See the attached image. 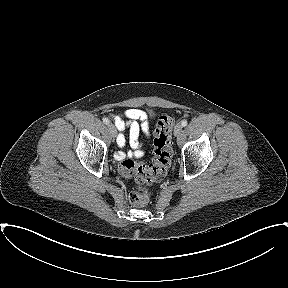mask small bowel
<instances>
[{
    "label": "small bowel",
    "mask_w": 288,
    "mask_h": 288,
    "mask_svg": "<svg viewBox=\"0 0 288 288\" xmlns=\"http://www.w3.org/2000/svg\"><path fill=\"white\" fill-rule=\"evenodd\" d=\"M114 123L120 132L117 143L120 147L125 145L126 139L123 132L129 130V144L132 151L127 153L119 151L116 158L122 160L126 157L140 158L144 155L143 144L139 140V134L142 131L146 135L149 133V123L147 114L137 108L126 109L122 114L114 116Z\"/></svg>",
    "instance_id": "c3829d8e"
}]
</instances>
